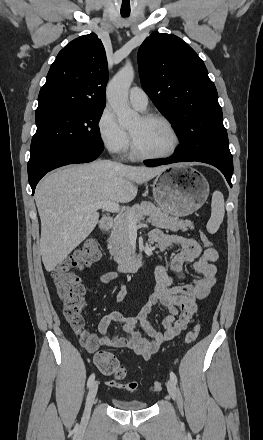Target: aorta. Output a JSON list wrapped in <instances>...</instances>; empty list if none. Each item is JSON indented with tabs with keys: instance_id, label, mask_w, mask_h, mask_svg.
I'll return each mask as SVG.
<instances>
[{
	"instance_id": "obj_1",
	"label": "aorta",
	"mask_w": 263,
	"mask_h": 440,
	"mask_svg": "<svg viewBox=\"0 0 263 440\" xmlns=\"http://www.w3.org/2000/svg\"><path fill=\"white\" fill-rule=\"evenodd\" d=\"M133 79V67L125 65L116 73L107 88L108 102L121 125H129L139 118L138 113L128 105V90Z\"/></svg>"
}]
</instances>
